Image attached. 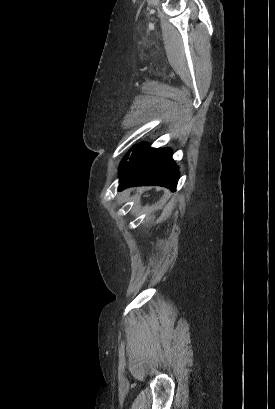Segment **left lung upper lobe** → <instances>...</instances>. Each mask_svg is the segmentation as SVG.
Masks as SVG:
<instances>
[{"label": "left lung upper lobe", "instance_id": "left-lung-upper-lobe-1", "mask_svg": "<svg viewBox=\"0 0 275 409\" xmlns=\"http://www.w3.org/2000/svg\"><path fill=\"white\" fill-rule=\"evenodd\" d=\"M128 155L125 156V158L122 160L121 164H120V168H119V174L121 173V171L123 170L126 160H127Z\"/></svg>", "mask_w": 275, "mask_h": 409}]
</instances>
